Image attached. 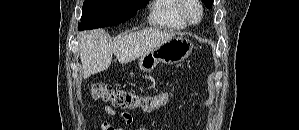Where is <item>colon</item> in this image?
Wrapping results in <instances>:
<instances>
[{"mask_svg": "<svg viewBox=\"0 0 299 130\" xmlns=\"http://www.w3.org/2000/svg\"><path fill=\"white\" fill-rule=\"evenodd\" d=\"M91 95L94 99L110 102L113 106L122 109L141 108L144 111H152L167 105L174 94L175 89L162 91L153 96H141L134 92L94 83L91 86Z\"/></svg>", "mask_w": 299, "mask_h": 130, "instance_id": "1", "label": "colon"}]
</instances>
